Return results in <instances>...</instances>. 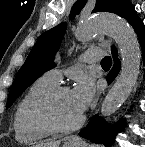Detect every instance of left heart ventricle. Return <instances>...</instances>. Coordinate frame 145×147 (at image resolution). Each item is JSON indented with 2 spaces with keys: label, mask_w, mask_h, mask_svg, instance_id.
Wrapping results in <instances>:
<instances>
[{
  "label": "left heart ventricle",
  "mask_w": 145,
  "mask_h": 147,
  "mask_svg": "<svg viewBox=\"0 0 145 147\" xmlns=\"http://www.w3.org/2000/svg\"><path fill=\"white\" fill-rule=\"evenodd\" d=\"M53 111L56 119L63 125H71L81 116L74 104L71 91L65 92L58 97L54 103Z\"/></svg>",
  "instance_id": "1"
}]
</instances>
